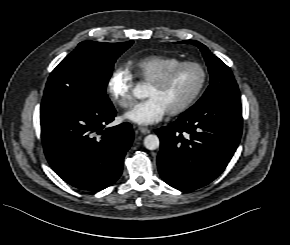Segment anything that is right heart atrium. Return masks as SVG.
I'll list each match as a JSON object with an SVG mask.
<instances>
[{"label": "right heart atrium", "mask_w": 290, "mask_h": 245, "mask_svg": "<svg viewBox=\"0 0 290 245\" xmlns=\"http://www.w3.org/2000/svg\"><path fill=\"white\" fill-rule=\"evenodd\" d=\"M133 76L125 67L115 69L107 84V90L113 101L121 108H129L134 103Z\"/></svg>", "instance_id": "obj_1"}]
</instances>
